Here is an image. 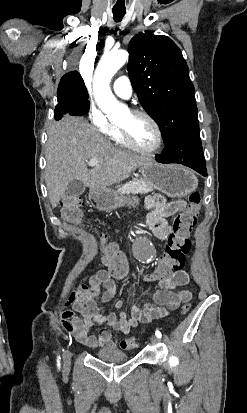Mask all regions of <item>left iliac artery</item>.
I'll return each mask as SVG.
<instances>
[{
  "label": "left iliac artery",
  "instance_id": "obj_1",
  "mask_svg": "<svg viewBox=\"0 0 247 413\" xmlns=\"http://www.w3.org/2000/svg\"><path fill=\"white\" fill-rule=\"evenodd\" d=\"M155 335H156V337H158V338H161V337H162L161 332L158 331V330H156Z\"/></svg>",
  "mask_w": 247,
  "mask_h": 413
}]
</instances>
